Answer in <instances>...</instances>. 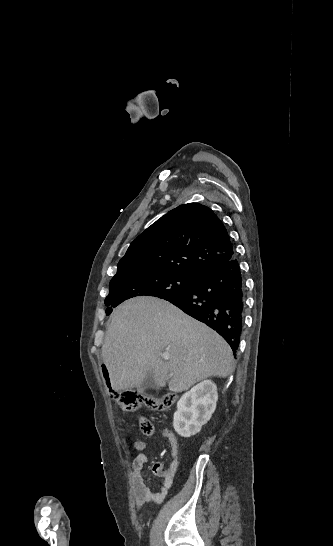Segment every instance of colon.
Wrapping results in <instances>:
<instances>
[{"label": "colon", "instance_id": "obj_1", "mask_svg": "<svg viewBox=\"0 0 333 546\" xmlns=\"http://www.w3.org/2000/svg\"><path fill=\"white\" fill-rule=\"evenodd\" d=\"M102 378L106 379L104 384L108 391H112L114 386L109 380V367L107 364H102ZM117 404L124 410L133 411L140 406H146L153 410H166L170 408L176 401V396L173 393H167L160 398H155L138 392L126 391L118 393L115 396ZM140 429L145 436H151L154 433L152 422L146 417H140Z\"/></svg>", "mask_w": 333, "mask_h": 546}]
</instances>
